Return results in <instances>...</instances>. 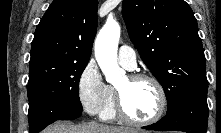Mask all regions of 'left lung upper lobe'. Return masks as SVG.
<instances>
[{"label":"left lung upper lobe","mask_w":221,"mask_h":133,"mask_svg":"<svg viewBox=\"0 0 221 133\" xmlns=\"http://www.w3.org/2000/svg\"><path fill=\"white\" fill-rule=\"evenodd\" d=\"M122 15L131 41L161 83L168 109L207 93L205 55L197 20L183 0H123Z\"/></svg>","instance_id":"left-lung-upper-lobe-1"}]
</instances>
